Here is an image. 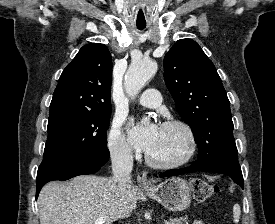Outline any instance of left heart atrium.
<instances>
[{
    "label": "left heart atrium",
    "mask_w": 275,
    "mask_h": 224,
    "mask_svg": "<svg viewBox=\"0 0 275 224\" xmlns=\"http://www.w3.org/2000/svg\"><path fill=\"white\" fill-rule=\"evenodd\" d=\"M161 127L156 123L144 125L137 123L129 129V139L131 144L138 150L150 152L154 147Z\"/></svg>",
    "instance_id": "left-heart-atrium-1"
}]
</instances>
